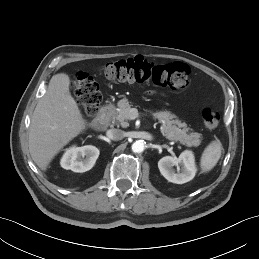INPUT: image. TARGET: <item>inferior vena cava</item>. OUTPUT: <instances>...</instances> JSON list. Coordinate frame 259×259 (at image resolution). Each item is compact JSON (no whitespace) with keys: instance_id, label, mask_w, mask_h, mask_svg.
I'll list each match as a JSON object with an SVG mask.
<instances>
[{"instance_id":"602c4592","label":"inferior vena cava","mask_w":259,"mask_h":259,"mask_svg":"<svg viewBox=\"0 0 259 259\" xmlns=\"http://www.w3.org/2000/svg\"><path fill=\"white\" fill-rule=\"evenodd\" d=\"M106 135L109 139L118 141L124 138V131H122L121 129H115V128L109 129L107 130Z\"/></svg>"}]
</instances>
